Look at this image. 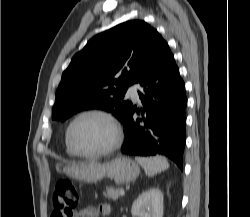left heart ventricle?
<instances>
[{
  "mask_svg": "<svg viewBox=\"0 0 250 217\" xmlns=\"http://www.w3.org/2000/svg\"><path fill=\"white\" fill-rule=\"evenodd\" d=\"M112 139L111 127L99 116H86L73 127L72 140L82 152H96L109 145Z\"/></svg>",
  "mask_w": 250,
  "mask_h": 217,
  "instance_id": "1",
  "label": "left heart ventricle"
}]
</instances>
